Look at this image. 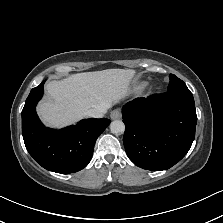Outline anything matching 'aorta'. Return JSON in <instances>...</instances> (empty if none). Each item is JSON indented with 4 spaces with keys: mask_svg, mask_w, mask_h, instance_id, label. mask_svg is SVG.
<instances>
[{
    "mask_svg": "<svg viewBox=\"0 0 223 223\" xmlns=\"http://www.w3.org/2000/svg\"><path fill=\"white\" fill-rule=\"evenodd\" d=\"M110 130L112 133H123L125 130V125L121 120H114L110 124Z\"/></svg>",
    "mask_w": 223,
    "mask_h": 223,
    "instance_id": "obj_1",
    "label": "aorta"
}]
</instances>
